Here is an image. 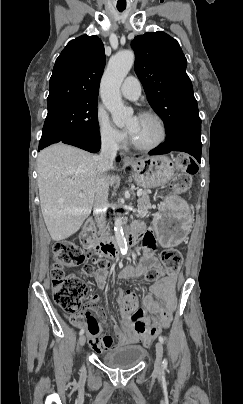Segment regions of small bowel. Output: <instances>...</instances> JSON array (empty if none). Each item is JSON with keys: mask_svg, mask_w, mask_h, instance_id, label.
I'll return each instance as SVG.
<instances>
[{"mask_svg": "<svg viewBox=\"0 0 243 404\" xmlns=\"http://www.w3.org/2000/svg\"><path fill=\"white\" fill-rule=\"evenodd\" d=\"M140 231L143 243L144 269L159 268L157 258L154 256L156 249V239L151 231H144L141 225L137 226ZM124 272L120 277H124ZM108 273L105 269H99L95 273V282L99 288L106 286ZM176 277H164L151 288V294L144 299V308H138L134 313L126 315L121 329L118 325L113 326V334L117 338L115 348L142 342L150 343L164 328L168 327L171 321L172 312L176 306L175 287ZM162 301V304L158 302ZM98 296L93 295L88 301L85 311L77 315L68 317L69 321L76 327L84 328L88 335L91 348L98 353H105L113 348V339L110 335L99 337L100 324L97 319L90 314L97 310ZM146 310L152 312V316L146 314ZM86 318L85 320L83 318ZM83 329V330H84Z\"/></svg>", "mask_w": 243, "mask_h": 404, "instance_id": "1", "label": "small bowel"}]
</instances>
